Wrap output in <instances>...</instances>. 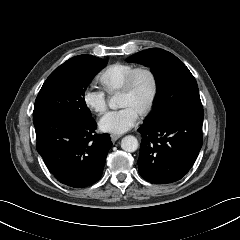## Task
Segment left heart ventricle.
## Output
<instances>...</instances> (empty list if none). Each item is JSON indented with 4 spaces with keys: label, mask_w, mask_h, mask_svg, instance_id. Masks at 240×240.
Segmentation results:
<instances>
[{
    "label": "left heart ventricle",
    "mask_w": 240,
    "mask_h": 240,
    "mask_svg": "<svg viewBox=\"0 0 240 240\" xmlns=\"http://www.w3.org/2000/svg\"><path fill=\"white\" fill-rule=\"evenodd\" d=\"M152 92V82L145 73H140L135 79V85L130 93H120L118 104L121 107H130L138 114L146 106Z\"/></svg>",
    "instance_id": "left-heart-ventricle-1"
}]
</instances>
